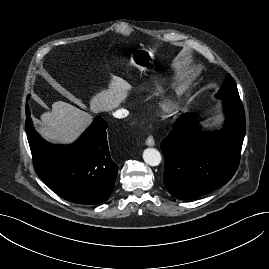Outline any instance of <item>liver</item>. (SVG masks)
Masks as SVG:
<instances>
[{
    "instance_id": "1",
    "label": "liver",
    "mask_w": 269,
    "mask_h": 269,
    "mask_svg": "<svg viewBox=\"0 0 269 269\" xmlns=\"http://www.w3.org/2000/svg\"><path fill=\"white\" fill-rule=\"evenodd\" d=\"M131 85L124 79L114 76L108 89L102 90L90 99V111L108 112L117 108L129 95ZM92 115L63 102L56 101L52 110L41 115L38 132L47 140L71 144L76 141L91 124Z\"/></svg>"
}]
</instances>
